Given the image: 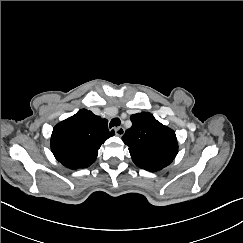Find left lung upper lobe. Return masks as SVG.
Listing matches in <instances>:
<instances>
[{
	"mask_svg": "<svg viewBox=\"0 0 243 243\" xmlns=\"http://www.w3.org/2000/svg\"><path fill=\"white\" fill-rule=\"evenodd\" d=\"M131 121L132 127L122 139L129 147L133 162L148 171L169 165L178 153L175 132L149 112L133 114Z\"/></svg>",
	"mask_w": 243,
	"mask_h": 243,
	"instance_id": "1",
	"label": "left lung upper lobe"
}]
</instances>
